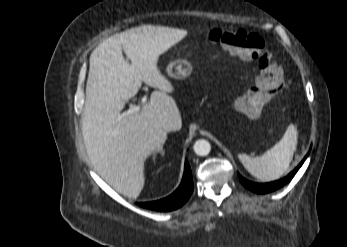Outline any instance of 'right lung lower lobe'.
I'll return each mask as SVG.
<instances>
[{"label":"right lung lower lobe","mask_w":347,"mask_h":247,"mask_svg":"<svg viewBox=\"0 0 347 247\" xmlns=\"http://www.w3.org/2000/svg\"><path fill=\"white\" fill-rule=\"evenodd\" d=\"M193 191L191 168L185 161V169L182 182L178 189L170 196L152 202L138 203L140 207L156 211H172L181 207L190 198Z\"/></svg>","instance_id":"1"}]
</instances>
